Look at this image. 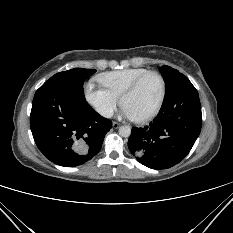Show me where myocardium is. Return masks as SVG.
<instances>
[{"label":"myocardium","mask_w":233,"mask_h":233,"mask_svg":"<svg viewBox=\"0 0 233 233\" xmlns=\"http://www.w3.org/2000/svg\"><path fill=\"white\" fill-rule=\"evenodd\" d=\"M151 75L157 76L160 79V81H161V87L162 88H161V96H160L159 102H158L157 106L154 108V110H152L147 115L142 116V117H137V118L133 117L132 119L135 122H139V123L146 122V121H149V120L153 119L154 117H156L158 115V113L160 112V110H161V108H162V106L164 104L165 97H166L167 87H166L165 78L162 76V74H160L157 71H148V72L142 74L141 76H139L129 87H127L124 90V92L120 96V103L123 105L124 99L127 96H129L132 93H134L140 87V85L142 84V82L147 77H149Z\"/></svg>","instance_id":"1"}]
</instances>
